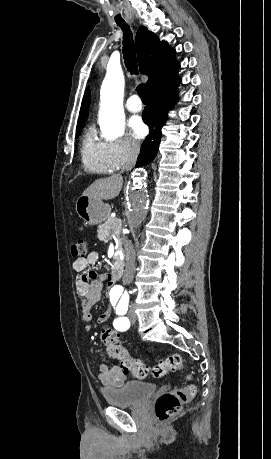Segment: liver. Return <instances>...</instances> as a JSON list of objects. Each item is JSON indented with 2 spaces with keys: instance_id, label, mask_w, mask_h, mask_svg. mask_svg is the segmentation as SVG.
<instances>
[{
  "instance_id": "6515ba94",
  "label": "liver",
  "mask_w": 271,
  "mask_h": 459,
  "mask_svg": "<svg viewBox=\"0 0 271 459\" xmlns=\"http://www.w3.org/2000/svg\"><path fill=\"white\" fill-rule=\"evenodd\" d=\"M123 186V178L120 174H112L110 178L95 180L82 196H88L91 200H112L119 196Z\"/></svg>"
}]
</instances>
